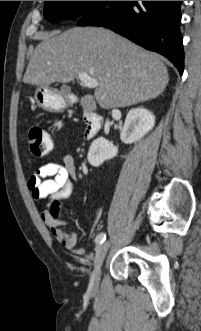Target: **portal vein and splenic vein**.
Wrapping results in <instances>:
<instances>
[{
    "mask_svg": "<svg viewBox=\"0 0 201 331\" xmlns=\"http://www.w3.org/2000/svg\"><path fill=\"white\" fill-rule=\"evenodd\" d=\"M78 78L87 88H96L99 83L87 73H79Z\"/></svg>",
    "mask_w": 201,
    "mask_h": 331,
    "instance_id": "portal-vein-and-splenic-vein-1",
    "label": "portal vein and splenic vein"
}]
</instances>
